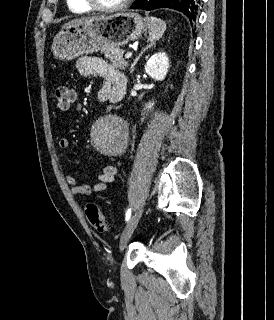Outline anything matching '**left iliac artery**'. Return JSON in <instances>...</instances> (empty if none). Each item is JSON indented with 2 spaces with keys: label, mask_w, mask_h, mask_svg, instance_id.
I'll list each match as a JSON object with an SVG mask.
<instances>
[{
  "label": "left iliac artery",
  "mask_w": 274,
  "mask_h": 320,
  "mask_svg": "<svg viewBox=\"0 0 274 320\" xmlns=\"http://www.w3.org/2000/svg\"><path fill=\"white\" fill-rule=\"evenodd\" d=\"M131 217V209L129 208L127 211H126V215H125V220L128 221Z\"/></svg>",
  "instance_id": "1"
}]
</instances>
